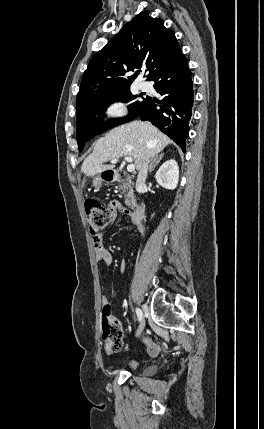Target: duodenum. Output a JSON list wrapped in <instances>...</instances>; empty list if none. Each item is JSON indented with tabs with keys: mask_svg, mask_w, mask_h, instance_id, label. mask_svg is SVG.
Returning <instances> with one entry per match:
<instances>
[{
	"mask_svg": "<svg viewBox=\"0 0 264 429\" xmlns=\"http://www.w3.org/2000/svg\"><path fill=\"white\" fill-rule=\"evenodd\" d=\"M112 179L119 180L120 175L118 173H113ZM143 214H144V205L142 203H135L134 211L130 216L131 222L135 225H139L142 222Z\"/></svg>",
	"mask_w": 264,
	"mask_h": 429,
	"instance_id": "duodenum-1",
	"label": "duodenum"
}]
</instances>
